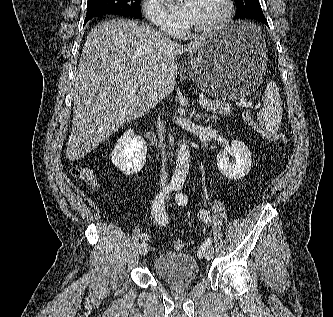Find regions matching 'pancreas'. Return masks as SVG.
I'll list each match as a JSON object with an SVG mask.
<instances>
[{
  "instance_id": "pancreas-1",
  "label": "pancreas",
  "mask_w": 333,
  "mask_h": 317,
  "mask_svg": "<svg viewBox=\"0 0 333 317\" xmlns=\"http://www.w3.org/2000/svg\"><path fill=\"white\" fill-rule=\"evenodd\" d=\"M205 109L213 113L228 116L232 112L231 104L219 100H209L205 105Z\"/></svg>"
}]
</instances>
